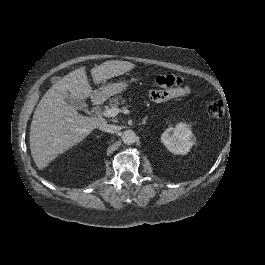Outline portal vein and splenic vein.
<instances>
[{"label": "portal vein and splenic vein", "mask_w": 265, "mask_h": 265, "mask_svg": "<svg viewBox=\"0 0 265 265\" xmlns=\"http://www.w3.org/2000/svg\"><path fill=\"white\" fill-rule=\"evenodd\" d=\"M119 112H123L124 114L130 113V110L127 109H119L118 107H113L111 109H107L104 111V116L105 117H115Z\"/></svg>", "instance_id": "1"}]
</instances>
